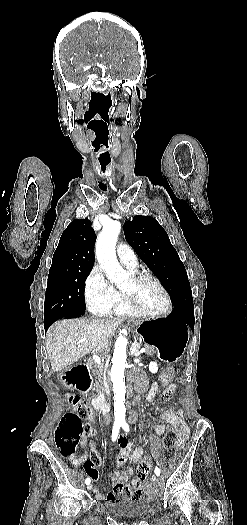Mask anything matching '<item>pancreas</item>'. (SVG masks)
I'll return each mask as SVG.
<instances>
[{"label":"pancreas","instance_id":"cf45deb5","mask_svg":"<svg viewBox=\"0 0 247 525\" xmlns=\"http://www.w3.org/2000/svg\"><path fill=\"white\" fill-rule=\"evenodd\" d=\"M145 351L148 355H155V352L159 351V348L147 346ZM87 365L91 371V375H94V377H101V375H103L104 367H102V365L98 366V363H94V359H89Z\"/></svg>","mask_w":247,"mask_h":525}]
</instances>
